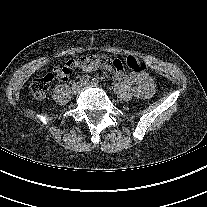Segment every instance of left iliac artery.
I'll return each instance as SVG.
<instances>
[{"mask_svg": "<svg viewBox=\"0 0 207 207\" xmlns=\"http://www.w3.org/2000/svg\"><path fill=\"white\" fill-rule=\"evenodd\" d=\"M91 83H92L93 85H98L99 81H98L96 78H93V79L91 80Z\"/></svg>", "mask_w": 207, "mask_h": 207, "instance_id": "1", "label": "left iliac artery"}]
</instances>
